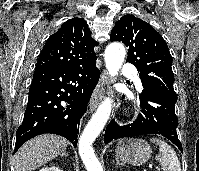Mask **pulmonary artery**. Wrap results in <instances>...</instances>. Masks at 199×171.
<instances>
[{"label": "pulmonary artery", "mask_w": 199, "mask_h": 171, "mask_svg": "<svg viewBox=\"0 0 199 171\" xmlns=\"http://www.w3.org/2000/svg\"><path fill=\"white\" fill-rule=\"evenodd\" d=\"M123 74L132 77L135 81L139 82L137 72L130 64H125L122 69Z\"/></svg>", "instance_id": "obj_1"}]
</instances>
